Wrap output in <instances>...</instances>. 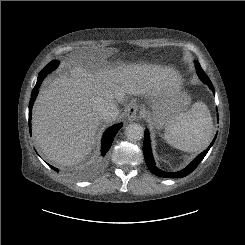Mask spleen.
<instances>
[{
    "label": "spleen",
    "instance_id": "obj_1",
    "mask_svg": "<svg viewBox=\"0 0 245 245\" xmlns=\"http://www.w3.org/2000/svg\"><path fill=\"white\" fill-rule=\"evenodd\" d=\"M213 137L210 111L202 102L165 128L164 139L171 146L186 152H200L208 147Z\"/></svg>",
    "mask_w": 245,
    "mask_h": 245
}]
</instances>
